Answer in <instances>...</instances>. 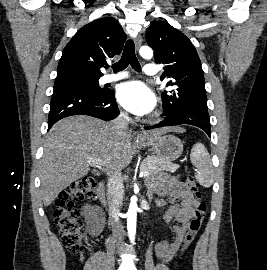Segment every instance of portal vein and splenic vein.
I'll list each match as a JSON object with an SVG mask.
<instances>
[{"instance_id":"portal-vein-and-splenic-vein-1","label":"portal vein and splenic vein","mask_w":267,"mask_h":270,"mask_svg":"<svg viewBox=\"0 0 267 270\" xmlns=\"http://www.w3.org/2000/svg\"><path fill=\"white\" fill-rule=\"evenodd\" d=\"M88 163L97 164L98 163V160L97 159L89 158ZM148 175L149 174L147 172H144V171H141L140 174H139L140 177H147Z\"/></svg>"}]
</instances>
